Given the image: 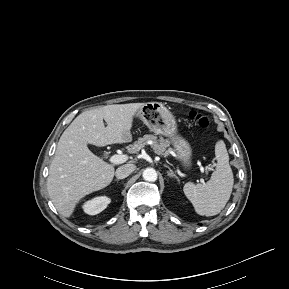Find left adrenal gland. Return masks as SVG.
I'll list each match as a JSON object with an SVG mask.
<instances>
[{
  "mask_svg": "<svg viewBox=\"0 0 289 289\" xmlns=\"http://www.w3.org/2000/svg\"><path fill=\"white\" fill-rule=\"evenodd\" d=\"M166 168H168L169 172H168V176L169 177H174L178 182H179V178L176 176V174L172 171V169L168 166V165H164Z\"/></svg>",
  "mask_w": 289,
  "mask_h": 289,
  "instance_id": "a2214340",
  "label": "left adrenal gland"
}]
</instances>
